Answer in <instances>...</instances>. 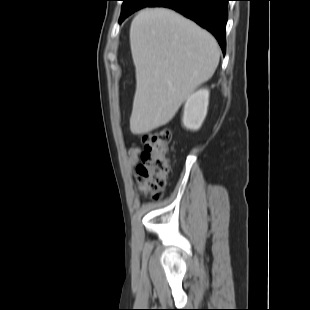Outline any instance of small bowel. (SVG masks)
I'll return each instance as SVG.
<instances>
[{"label":"small bowel","instance_id":"1","mask_svg":"<svg viewBox=\"0 0 310 310\" xmlns=\"http://www.w3.org/2000/svg\"><path fill=\"white\" fill-rule=\"evenodd\" d=\"M141 153V148L137 145H132L127 149V163L130 167L138 165Z\"/></svg>","mask_w":310,"mask_h":310}]
</instances>
